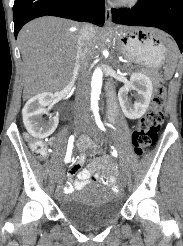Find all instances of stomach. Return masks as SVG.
Returning a JSON list of instances; mask_svg holds the SVG:
<instances>
[{
	"instance_id": "1",
	"label": "stomach",
	"mask_w": 183,
	"mask_h": 246,
	"mask_svg": "<svg viewBox=\"0 0 183 246\" xmlns=\"http://www.w3.org/2000/svg\"><path fill=\"white\" fill-rule=\"evenodd\" d=\"M155 29L121 27L116 33L117 43L123 55L150 68H158L165 60V40Z\"/></svg>"
}]
</instances>
